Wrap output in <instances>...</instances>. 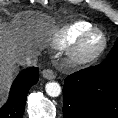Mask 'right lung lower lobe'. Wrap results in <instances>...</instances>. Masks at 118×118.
<instances>
[{"instance_id":"98d812e1","label":"right lung lower lobe","mask_w":118,"mask_h":118,"mask_svg":"<svg viewBox=\"0 0 118 118\" xmlns=\"http://www.w3.org/2000/svg\"><path fill=\"white\" fill-rule=\"evenodd\" d=\"M39 79L37 67L23 70L11 86L6 104L0 109V118H22L25 109L27 93Z\"/></svg>"}]
</instances>
